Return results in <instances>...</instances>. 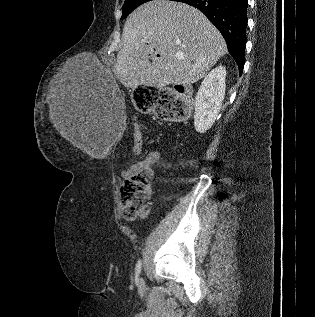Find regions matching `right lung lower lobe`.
Returning a JSON list of instances; mask_svg holds the SVG:
<instances>
[{
	"instance_id": "98d812e1",
	"label": "right lung lower lobe",
	"mask_w": 315,
	"mask_h": 317,
	"mask_svg": "<svg viewBox=\"0 0 315 317\" xmlns=\"http://www.w3.org/2000/svg\"><path fill=\"white\" fill-rule=\"evenodd\" d=\"M201 10L223 35L240 74L245 62L248 0H175Z\"/></svg>"
}]
</instances>
